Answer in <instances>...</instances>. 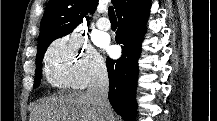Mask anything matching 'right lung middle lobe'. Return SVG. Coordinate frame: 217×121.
<instances>
[{"label": "right lung middle lobe", "mask_w": 217, "mask_h": 121, "mask_svg": "<svg viewBox=\"0 0 217 121\" xmlns=\"http://www.w3.org/2000/svg\"><path fill=\"white\" fill-rule=\"evenodd\" d=\"M48 41L45 44L38 46V51H37V55H36V78H35V86L34 88H36V86L39 84L40 82V78H41V73H42V60H43V56L44 53L46 52L47 47L50 45V43L52 42Z\"/></svg>", "instance_id": "obj_1"}]
</instances>
